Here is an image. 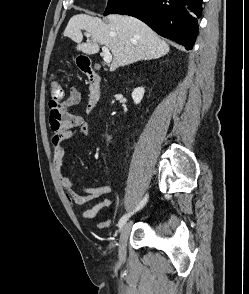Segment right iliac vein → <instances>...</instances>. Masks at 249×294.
<instances>
[{"label":"right iliac vein","mask_w":249,"mask_h":294,"mask_svg":"<svg viewBox=\"0 0 249 294\" xmlns=\"http://www.w3.org/2000/svg\"><path fill=\"white\" fill-rule=\"evenodd\" d=\"M132 223H125L121 228L120 239H119V258L125 260L126 258V245L127 239L131 230Z\"/></svg>","instance_id":"right-iliac-vein-1"}]
</instances>
